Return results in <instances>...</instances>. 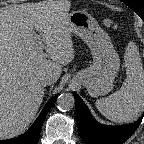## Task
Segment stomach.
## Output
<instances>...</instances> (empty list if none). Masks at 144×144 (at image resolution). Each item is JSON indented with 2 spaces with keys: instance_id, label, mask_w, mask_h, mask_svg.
<instances>
[{
  "instance_id": "stomach-1",
  "label": "stomach",
  "mask_w": 144,
  "mask_h": 144,
  "mask_svg": "<svg viewBox=\"0 0 144 144\" xmlns=\"http://www.w3.org/2000/svg\"><path fill=\"white\" fill-rule=\"evenodd\" d=\"M71 33L80 37L90 48L93 63L73 76V81L83 84L91 96H102L113 88L120 68V59L108 34L97 20L84 10L69 14Z\"/></svg>"
}]
</instances>
